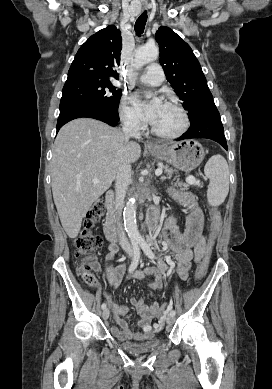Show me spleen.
<instances>
[{"instance_id":"1","label":"spleen","mask_w":272,"mask_h":389,"mask_svg":"<svg viewBox=\"0 0 272 389\" xmlns=\"http://www.w3.org/2000/svg\"><path fill=\"white\" fill-rule=\"evenodd\" d=\"M204 173L209 178L207 200L211 206H219L229 192V168L227 161L221 155L212 156L204 167Z\"/></svg>"}]
</instances>
